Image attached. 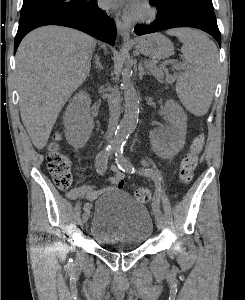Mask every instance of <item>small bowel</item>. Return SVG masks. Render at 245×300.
I'll list each match as a JSON object with an SVG mask.
<instances>
[{
	"mask_svg": "<svg viewBox=\"0 0 245 300\" xmlns=\"http://www.w3.org/2000/svg\"><path fill=\"white\" fill-rule=\"evenodd\" d=\"M109 185L105 187L82 186L71 189L67 192L68 199L74 201L81 196L87 200H95L107 191L122 189L124 186V174L117 168L112 167V175L108 179Z\"/></svg>",
	"mask_w": 245,
	"mask_h": 300,
	"instance_id": "1",
	"label": "small bowel"
}]
</instances>
